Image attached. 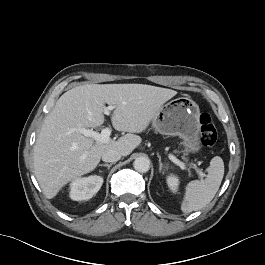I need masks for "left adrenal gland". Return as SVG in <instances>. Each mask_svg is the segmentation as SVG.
I'll return each mask as SVG.
<instances>
[{"label": "left adrenal gland", "mask_w": 265, "mask_h": 265, "mask_svg": "<svg viewBox=\"0 0 265 265\" xmlns=\"http://www.w3.org/2000/svg\"><path fill=\"white\" fill-rule=\"evenodd\" d=\"M159 157V171L162 172L164 174L163 168H165L166 166L163 165V163L161 162V157Z\"/></svg>", "instance_id": "obj_1"}]
</instances>
